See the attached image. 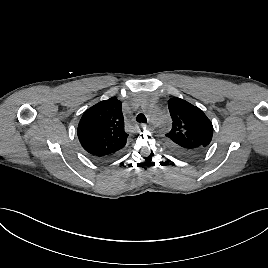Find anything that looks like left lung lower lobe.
Returning <instances> with one entry per match:
<instances>
[{"instance_id": "1", "label": "left lung lower lobe", "mask_w": 268, "mask_h": 268, "mask_svg": "<svg viewBox=\"0 0 268 268\" xmlns=\"http://www.w3.org/2000/svg\"><path fill=\"white\" fill-rule=\"evenodd\" d=\"M167 145H168L169 150L174 155H176L179 158L188 159V160L198 158L206 151L205 148H201L198 146L196 147L195 145L190 146L189 149H184V148L175 146L173 143L168 142V141H167ZM191 147H194V148H191Z\"/></svg>"}]
</instances>
